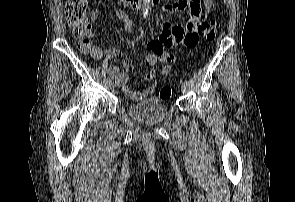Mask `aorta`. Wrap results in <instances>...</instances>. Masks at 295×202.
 I'll list each match as a JSON object with an SVG mask.
<instances>
[{
  "label": "aorta",
  "instance_id": "obj_1",
  "mask_svg": "<svg viewBox=\"0 0 295 202\" xmlns=\"http://www.w3.org/2000/svg\"><path fill=\"white\" fill-rule=\"evenodd\" d=\"M141 4H142V12H143V16L147 17L149 10H150V1L151 0H140Z\"/></svg>",
  "mask_w": 295,
  "mask_h": 202
}]
</instances>
